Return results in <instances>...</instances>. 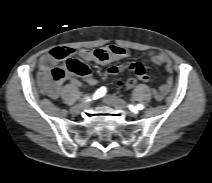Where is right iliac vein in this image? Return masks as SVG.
<instances>
[{
	"label": "right iliac vein",
	"mask_w": 212,
	"mask_h": 183,
	"mask_svg": "<svg viewBox=\"0 0 212 183\" xmlns=\"http://www.w3.org/2000/svg\"><path fill=\"white\" fill-rule=\"evenodd\" d=\"M88 106H89V103H82L81 105L71 108V113L77 115L82 111V109Z\"/></svg>",
	"instance_id": "1"
}]
</instances>
